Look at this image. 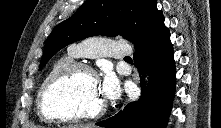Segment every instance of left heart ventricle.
Masks as SVG:
<instances>
[{
    "mask_svg": "<svg viewBox=\"0 0 221 128\" xmlns=\"http://www.w3.org/2000/svg\"><path fill=\"white\" fill-rule=\"evenodd\" d=\"M104 97L98 81L87 73H77L49 93L47 107L63 114L95 110Z\"/></svg>",
    "mask_w": 221,
    "mask_h": 128,
    "instance_id": "left-heart-ventricle-1",
    "label": "left heart ventricle"
}]
</instances>
